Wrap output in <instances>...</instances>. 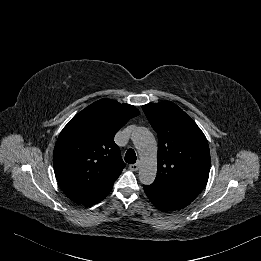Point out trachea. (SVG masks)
I'll return each mask as SVG.
<instances>
[{
	"label": "trachea",
	"instance_id": "trachea-1",
	"mask_svg": "<svg viewBox=\"0 0 261 261\" xmlns=\"http://www.w3.org/2000/svg\"><path fill=\"white\" fill-rule=\"evenodd\" d=\"M137 157L136 153L133 149H128L126 154H125V162L129 164H134L136 163Z\"/></svg>",
	"mask_w": 261,
	"mask_h": 261
}]
</instances>
